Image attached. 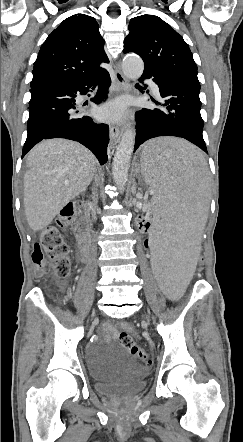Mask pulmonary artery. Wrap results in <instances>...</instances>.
Returning <instances> with one entry per match:
<instances>
[{"label": "pulmonary artery", "mask_w": 243, "mask_h": 442, "mask_svg": "<svg viewBox=\"0 0 243 442\" xmlns=\"http://www.w3.org/2000/svg\"><path fill=\"white\" fill-rule=\"evenodd\" d=\"M149 86H150V89H151L152 93L155 96H159L160 95L159 88H158V86L155 83L149 82Z\"/></svg>", "instance_id": "pulmonary-artery-1"}]
</instances>
